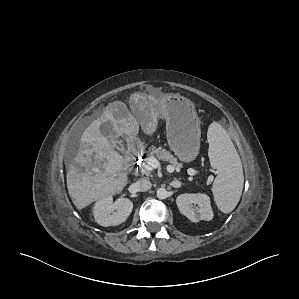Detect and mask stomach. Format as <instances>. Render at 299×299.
<instances>
[{
  "label": "stomach",
  "instance_id": "obj_1",
  "mask_svg": "<svg viewBox=\"0 0 299 299\" xmlns=\"http://www.w3.org/2000/svg\"><path fill=\"white\" fill-rule=\"evenodd\" d=\"M156 115L166 121L171 150L183 162L193 161L200 150V120L194 104L178 93H160L151 100Z\"/></svg>",
  "mask_w": 299,
  "mask_h": 299
}]
</instances>
